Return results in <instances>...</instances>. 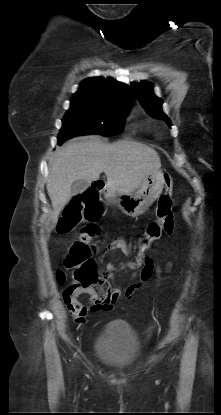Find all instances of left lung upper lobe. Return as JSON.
<instances>
[{"label": "left lung upper lobe", "mask_w": 221, "mask_h": 415, "mask_svg": "<svg viewBox=\"0 0 221 415\" xmlns=\"http://www.w3.org/2000/svg\"><path fill=\"white\" fill-rule=\"evenodd\" d=\"M131 88L148 114L157 119L166 121L169 127L171 122L162 111V101L153 92L152 84L148 82L132 83Z\"/></svg>", "instance_id": "5c2ea615"}]
</instances>
